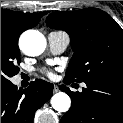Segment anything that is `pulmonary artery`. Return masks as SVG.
Wrapping results in <instances>:
<instances>
[{"label": "pulmonary artery", "instance_id": "obj_1", "mask_svg": "<svg viewBox=\"0 0 123 123\" xmlns=\"http://www.w3.org/2000/svg\"><path fill=\"white\" fill-rule=\"evenodd\" d=\"M69 43V35L64 31H52L48 34V45L52 54L57 55L63 53Z\"/></svg>", "mask_w": 123, "mask_h": 123}]
</instances>
